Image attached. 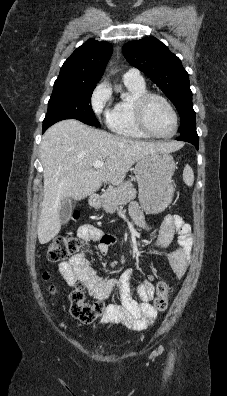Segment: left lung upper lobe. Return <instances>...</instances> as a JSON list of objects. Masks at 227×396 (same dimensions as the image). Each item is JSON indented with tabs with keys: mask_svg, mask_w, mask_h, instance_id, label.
<instances>
[{
	"mask_svg": "<svg viewBox=\"0 0 227 396\" xmlns=\"http://www.w3.org/2000/svg\"><path fill=\"white\" fill-rule=\"evenodd\" d=\"M123 54L132 66L144 72L173 102L180 114V133L196 126L189 76L178 57L152 37L126 43Z\"/></svg>",
	"mask_w": 227,
	"mask_h": 396,
	"instance_id": "obj_1",
	"label": "left lung upper lobe"
}]
</instances>
